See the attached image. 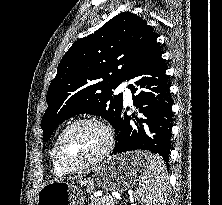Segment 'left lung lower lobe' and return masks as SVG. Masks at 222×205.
<instances>
[{"label": "left lung lower lobe", "instance_id": "left-lung-lower-lobe-1", "mask_svg": "<svg viewBox=\"0 0 222 205\" xmlns=\"http://www.w3.org/2000/svg\"><path fill=\"white\" fill-rule=\"evenodd\" d=\"M162 51L157 36L152 33L136 62L128 72L127 79L138 78L135 85H129L133 104L144 113L146 119L136 118L131 124V117L123 110L113 126L116 133V144L111 155L132 150H149L163 153L166 163L171 147L172 99L170 83L165 74L167 67L161 58ZM140 86L148 89L134 96ZM144 106V107H143Z\"/></svg>", "mask_w": 222, "mask_h": 205}]
</instances>
